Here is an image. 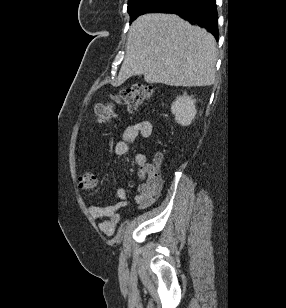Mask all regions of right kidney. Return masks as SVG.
I'll list each match as a JSON object with an SVG mask.
<instances>
[{
    "mask_svg": "<svg viewBox=\"0 0 286 308\" xmlns=\"http://www.w3.org/2000/svg\"><path fill=\"white\" fill-rule=\"evenodd\" d=\"M196 100L186 94L179 96L171 105V111L175 115V120L182 126H188L197 113Z\"/></svg>",
    "mask_w": 286,
    "mask_h": 308,
    "instance_id": "right-kidney-1",
    "label": "right kidney"
}]
</instances>
